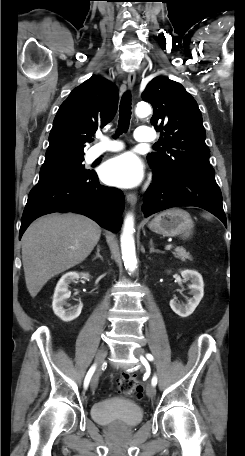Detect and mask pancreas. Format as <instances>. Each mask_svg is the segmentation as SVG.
<instances>
[{"instance_id": "cf45deb5", "label": "pancreas", "mask_w": 245, "mask_h": 456, "mask_svg": "<svg viewBox=\"0 0 245 456\" xmlns=\"http://www.w3.org/2000/svg\"><path fill=\"white\" fill-rule=\"evenodd\" d=\"M176 258L180 259L181 261L192 260L191 255L182 247H177L173 252Z\"/></svg>"}]
</instances>
